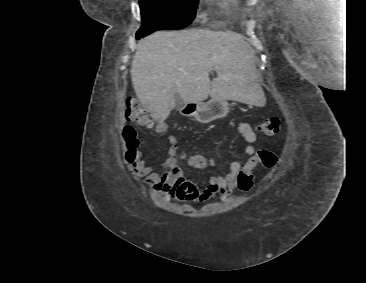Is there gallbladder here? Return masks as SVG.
Listing matches in <instances>:
<instances>
[{
    "label": "gallbladder",
    "instance_id": "gallbladder-1",
    "mask_svg": "<svg viewBox=\"0 0 366 283\" xmlns=\"http://www.w3.org/2000/svg\"><path fill=\"white\" fill-rule=\"evenodd\" d=\"M174 97L176 101L175 109L179 110L184 105L183 99L178 93H175Z\"/></svg>",
    "mask_w": 366,
    "mask_h": 283
}]
</instances>
